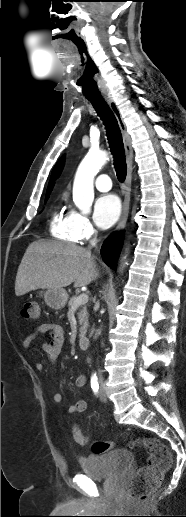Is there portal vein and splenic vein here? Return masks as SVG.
Listing matches in <instances>:
<instances>
[{
  "label": "portal vein and splenic vein",
  "instance_id": "18ae733b",
  "mask_svg": "<svg viewBox=\"0 0 186 517\" xmlns=\"http://www.w3.org/2000/svg\"><path fill=\"white\" fill-rule=\"evenodd\" d=\"M88 295L86 293H82L77 297V299L74 302V306H80L82 304H85L88 302Z\"/></svg>",
  "mask_w": 186,
  "mask_h": 517
}]
</instances>
